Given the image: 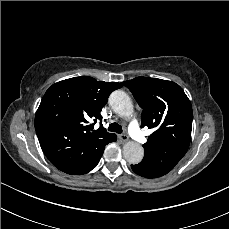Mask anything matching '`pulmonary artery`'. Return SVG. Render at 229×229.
Segmentation results:
<instances>
[{"label":"pulmonary artery","mask_w":229,"mask_h":229,"mask_svg":"<svg viewBox=\"0 0 229 229\" xmlns=\"http://www.w3.org/2000/svg\"><path fill=\"white\" fill-rule=\"evenodd\" d=\"M128 121H129L128 131L134 136V138L137 141L139 142L144 141L146 138V135L144 131L140 129V124H139V121L136 119V117L132 114L131 119Z\"/></svg>","instance_id":"pulmonary-artery-1"}]
</instances>
